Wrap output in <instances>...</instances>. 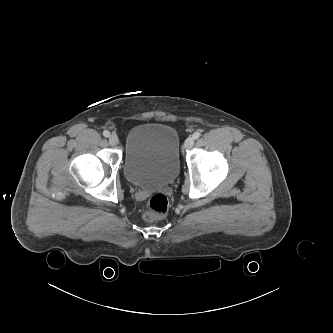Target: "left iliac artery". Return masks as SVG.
I'll return each instance as SVG.
<instances>
[{"instance_id":"44dca946","label":"left iliac artery","mask_w":333,"mask_h":333,"mask_svg":"<svg viewBox=\"0 0 333 333\" xmlns=\"http://www.w3.org/2000/svg\"><path fill=\"white\" fill-rule=\"evenodd\" d=\"M201 136L200 132L196 131L194 134H193V138L194 139H198L199 137Z\"/></svg>"}]
</instances>
